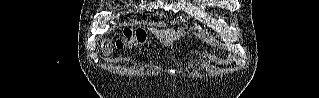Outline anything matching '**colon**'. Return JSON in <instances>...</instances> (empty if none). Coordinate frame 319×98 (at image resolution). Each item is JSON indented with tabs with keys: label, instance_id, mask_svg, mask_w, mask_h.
Masks as SVG:
<instances>
[{
	"label": "colon",
	"instance_id": "5ec220e1",
	"mask_svg": "<svg viewBox=\"0 0 319 98\" xmlns=\"http://www.w3.org/2000/svg\"><path fill=\"white\" fill-rule=\"evenodd\" d=\"M116 45L120 49L133 47L145 48L149 45V43L147 40V34L144 30L125 29L122 37L117 40Z\"/></svg>",
	"mask_w": 319,
	"mask_h": 98
}]
</instances>
